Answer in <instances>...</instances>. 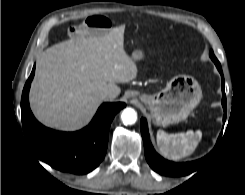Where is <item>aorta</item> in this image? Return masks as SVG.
<instances>
[{
    "label": "aorta",
    "instance_id": "aorta-1",
    "mask_svg": "<svg viewBox=\"0 0 245 195\" xmlns=\"http://www.w3.org/2000/svg\"><path fill=\"white\" fill-rule=\"evenodd\" d=\"M121 119L125 125H132L137 121V113L133 108H126L121 114Z\"/></svg>",
    "mask_w": 245,
    "mask_h": 195
}]
</instances>
